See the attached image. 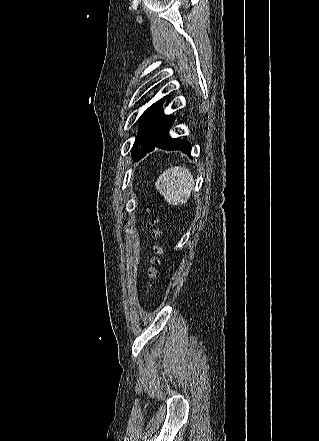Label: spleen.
Masks as SVG:
<instances>
[{
	"label": "spleen",
	"instance_id": "1",
	"mask_svg": "<svg viewBox=\"0 0 319 441\" xmlns=\"http://www.w3.org/2000/svg\"><path fill=\"white\" fill-rule=\"evenodd\" d=\"M156 188L170 205L186 203L194 188V178L186 167H171L156 181Z\"/></svg>",
	"mask_w": 319,
	"mask_h": 441
}]
</instances>
